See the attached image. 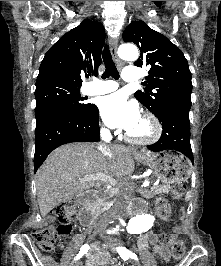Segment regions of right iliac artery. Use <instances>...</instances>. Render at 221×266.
I'll return each instance as SVG.
<instances>
[{
	"label": "right iliac artery",
	"instance_id": "1",
	"mask_svg": "<svg viewBox=\"0 0 221 266\" xmlns=\"http://www.w3.org/2000/svg\"><path fill=\"white\" fill-rule=\"evenodd\" d=\"M88 250H89V245H88V244H84V245L81 247L79 253H78V254L76 255V257L74 258V260L76 261V260L80 259L84 254H86V253L88 252Z\"/></svg>",
	"mask_w": 221,
	"mask_h": 266
}]
</instances>
